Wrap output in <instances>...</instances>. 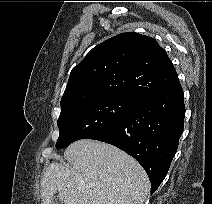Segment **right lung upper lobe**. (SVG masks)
<instances>
[{
	"instance_id": "cb5924a9",
	"label": "right lung upper lobe",
	"mask_w": 212,
	"mask_h": 204,
	"mask_svg": "<svg viewBox=\"0 0 212 204\" xmlns=\"http://www.w3.org/2000/svg\"><path fill=\"white\" fill-rule=\"evenodd\" d=\"M178 82L172 62L155 39L121 33L94 47L72 69L61 109L108 96L138 101Z\"/></svg>"
}]
</instances>
